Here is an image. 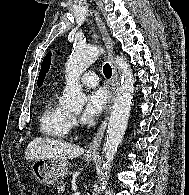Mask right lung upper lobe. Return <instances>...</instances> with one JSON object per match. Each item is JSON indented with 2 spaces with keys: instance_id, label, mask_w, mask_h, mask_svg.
Listing matches in <instances>:
<instances>
[{
  "instance_id": "obj_1",
  "label": "right lung upper lobe",
  "mask_w": 189,
  "mask_h": 195,
  "mask_svg": "<svg viewBox=\"0 0 189 195\" xmlns=\"http://www.w3.org/2000/svg\"><path fill=\"white\" fill-rule=\"evenodd\" d=\"M51 62V53L49 52L46 57L43 60V63L41 65V70L39 73L37 85L41 86L43 84L44 76L46 75V72H48Z\"/></svg>"
}]
</instances>
